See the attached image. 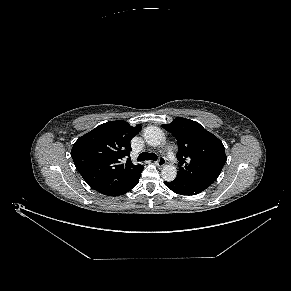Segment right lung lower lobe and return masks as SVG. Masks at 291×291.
<instances>
[{"label":"right lung lower lobe","mask_w":291,"mask_h":291,"mask_svg":"<svg viewBox=\"0 0 291 291\" xmlns=\"http://www.w3.org/2000/svg\"><path fill=\"white\" fill-rule=\"evenodd\" d=\"M142 170L130 182L126 183L121 188L116 189V190L107 191V192H104L102 194L107 195V196H120V195L127 193L134 186H136L138 184Z\"/></svg>","instance_id":"98d812e1"}]
</instances>
